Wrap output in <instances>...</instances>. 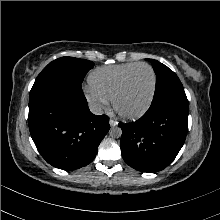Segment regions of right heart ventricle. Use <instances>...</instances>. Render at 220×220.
<instances>
[{
	"instance_id": "e07e8e85",
	"label": "right heart ventricle",
	"mask_w": 220,
	"mask_h": 220,
	"mask_svg": "<svg viewBox=\"0 0 220 220\" xmlns=\"http://www.w3.org/2000/svg\"><path fill=\"white\" fill-rule=\"evenodd\" d=\"M136 64L138 63L130 62L97 68L88 77L89 86L92 90L110 100L122 78Z\"/></svg>"
}]
</instances>
